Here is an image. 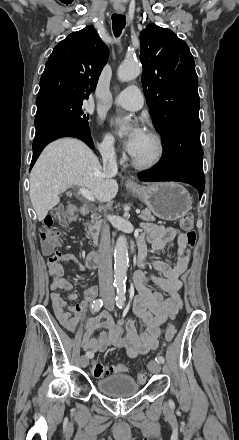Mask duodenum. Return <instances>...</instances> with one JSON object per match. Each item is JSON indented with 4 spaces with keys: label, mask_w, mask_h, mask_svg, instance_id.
Returning a JSON list of instances; mask_svg holds the SVG:
<instances>
[{
    "label": "duodenum",
    "mask_w": 239,
    "mask_h": 440,
    "mask_svg": "<svg viewBox=\"0 0 239 440\" xmlns=\"http://www.w3.org/2000/svg\"><path fill=\"white\" fill-rule=\"evenodd\" d=\"M80 212L82 215H87L90 213V207L88 204H82L80 207ZM100 263V256L97 252L92 251L87 255L86 265L90 269H95Z\"/></svg>",
    "instance_id": "1"
}]
</instances>
